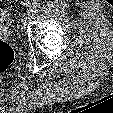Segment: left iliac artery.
Returning a JSON list of instances; mask_svg holds the SVG:
<instances>
[{"mask_svg": "<svg viewBox=\"0 0 113 113\" xmlns=\"http://www.w3.org/2000/svg\"><path fill=\"white\" fill-rule=\"evenodd\" d=\"M39 8H40V4L35 2V3H33L32 7H31V12L36 13V12H38Z\"/></svg>", "mask_w": 113, "mask_h": 113, "instance_id": "obj_1", "label": "left iliac artery"}]
</instances>
